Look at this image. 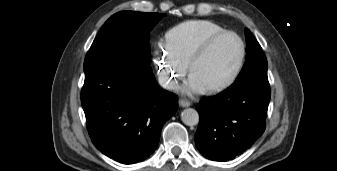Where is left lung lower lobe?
<instances>
[{
	"instance_id": "1",
	"label": "left lung lower lobe",
	"mask_w": 337,
	"mask_h": 171,
	"mask_svg": "<svg viewBox=\"0 0 337 171\" xmlns=\"http://www.w3.org/2000/svg\"><path fill=\"white\" fill-rule=\"evenodd\" d=\"M270 85L248 83L228 87L196 107L200 122L195 142L200 153L228 161L243 153L263 134Z\"/></svg>"
}]
</instances>
